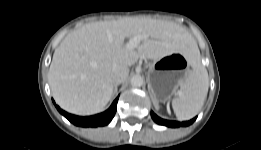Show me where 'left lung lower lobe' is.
Here are the masks:
<instances>
[{"label":"left lung lower lobe","instance_id":"0a47b994","mask_svg":"<svg viewBox=\"0 0 261 150\" xmlns=\"http://www.w3.org/2000/svg\"><path fill=\"white\" fill-rule=\"evenodd\" d=\"M151 117L157 124L165 125V126H168V127L188 126L196 120V117H195L192 120L186 121V122L168 121V120H164V119L159 118L153 112H151Z\"/></svg>","mask_w":261,"mask_h":150}]
</instances>
